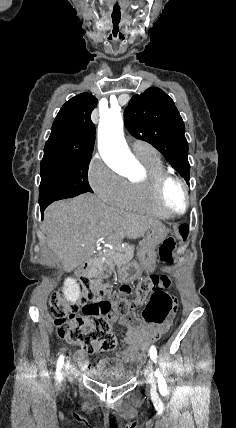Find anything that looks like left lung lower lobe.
Listing matches in <instances>:
<instances>
[{
	"label": "left lung lower lobe",
	"mask_w": 236,
	"mask_h": 428,
	"mask_svg": "<svg viewBox=\"0 0 236 428\" xmlns=\"http://www.w3.org/2000/svg\"><path fill=\"white\" fill-rule=\"evenodd\" d=\"M179 231L184 239H186L188 235V225L184 224L179 227Z\"/></svg>",
	"instance_id": "1"
}]
</instances>
